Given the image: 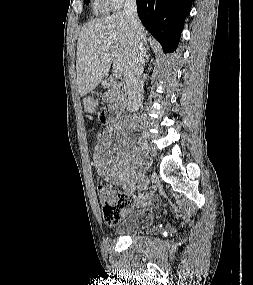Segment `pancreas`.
<instances>
[{
    "mask_svg": "<svg viewBox=\"0 0 253 285\" xmlns=\"http://www.w3.org/2000/svg\"><path fill=\"white\" fill-rule=\"evenodd\" d=\"M108 99L109 103L113 105H118L119 101L124 99V89H121L120 83H117L116 81H111L110 85L108 87Z\"/></svg>",
    "mask_w": 253,
    "mask_h": 285,
    "instance_id": "1",
    "label": "pancreas"
}]
</instances>
